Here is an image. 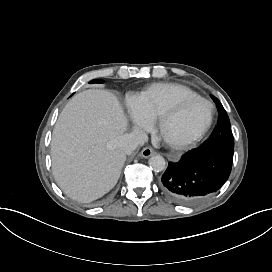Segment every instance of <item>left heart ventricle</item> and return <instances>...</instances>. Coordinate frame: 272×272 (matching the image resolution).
<instances>
[{
	"instance_id": "1",
	"label": "left heart ventricle",
	"mask_w": 272,
	"mask_h": 272,
	"mask_svg": "<svg viewBox=\"0 0 272 272\" xmlns=\"http://www.w3.org/2000/svg\"><path fill=\"white\" fill-rule=\"evenodd\" d=\"M207 107L204 103L194 101L185 110L170 120L175 133L189 134L199 129L206 121Z\"/></svg>"
}]
</instances>
